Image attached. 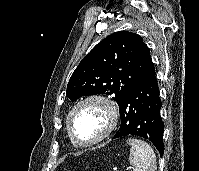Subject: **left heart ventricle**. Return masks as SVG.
<instances>
[{
    "instance_id": "b2bd125f",
    "label": "left heart ventricle",
    "mask_w": 199,
    "mask_h": 171,
    "mask_svg": "<svg viewBox=\"0 0 199 171\" xmlns=\"http://www.w3.org/2000/svg\"><path fill=\"white\" fill-rule=\"evenodd\" d=\"M72 129L75 136L83 142L97 138L107 126L105 111L96 104L80 107L72 117Z\"/></svg>"
}]
</instances>
